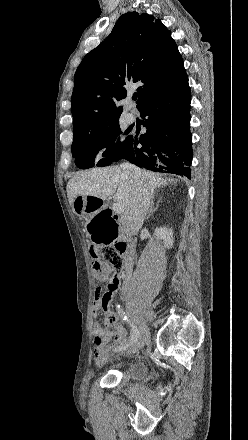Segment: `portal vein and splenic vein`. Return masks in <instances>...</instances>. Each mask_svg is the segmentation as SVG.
I'll list each match as a JSON object with an SVG mask.
<instances>
[{
  "mask_svg": "<svg viewBox=\"0 0 248 440\" xmlns=\"http://www.w3.org/2000/svg\"><path fill=\"white\" fill-rule=\"evenodd\" d=\"M113 210L116 212H122L124 211V207L122 206L121 203L116 202L113 204Z\"/></svg>",
  "mask_w": 248,
  "mask_h": 440,
  "instance_id": "obj_1",
  "label": "portal vein and splenic vein"
}]
</instances>
